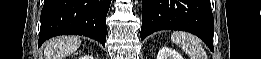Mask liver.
I'll return each instance as SVG.
<instances>
[{"mask_svg":"<svg viewBox=\"0 0 261 59\" xmlns=\"http://www.w3.org/2000/svg\"><path fill=\"white\" fill-rule=\"evenodd\" d=\"M81 45L80 38L76 36L56 37L45 44V59H64L75 52Z\"/></svg>","mask_w":261,"mask_h":59,"instance_id":"liver-1","label":"liver"}]
</instances>
